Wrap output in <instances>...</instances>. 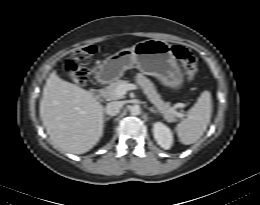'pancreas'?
I'll return each instance as SVG.
<instances>
[{
    "mask_svg": "<svg viewBox=\"0 0 260 205\" xmlns=\"http://www.w3.org/2000/svg\"><path fill=\"white\" fill-rule=\"evenodd\" d=\"M135 82L143 89L149 101L154 104L157 110L163 114L164 118L168 122L176 121L177 114L175 107H171L169 102H164L161 99V96L157 93L154 84L147 77L141 73H138L135 76ZM125 84H128V81L117 80L112 82L110 85L102 89L103 97L107 100L119 99L118 95L116 94V89L118 86Z\"/></svg>",
    "mask_w": 260,
    "mask_h": 205,
    "instance_id": "cf45deb5",
    "label": "pancreas"
}]
</instances>
